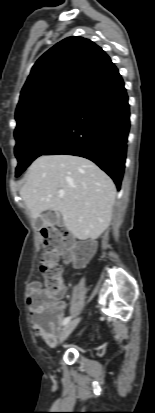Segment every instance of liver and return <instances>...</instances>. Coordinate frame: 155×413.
Here are the masks:
<instances>
[{"label": "liver", "instance_id": "obj_1", "mask_svg": "<svg viewBox=\"0 0 155 413\" xmlns=\"http://www.w3.org/2000/svg\"><path fill=\"white\" fill-rule=\"evenodd\" d=\"M20 196L33 219L47 210L59 212L75 238L95 240L110 224L116 188L90 160L57 154L40 156L31 164Z\"/></svg>", "mask_w": 155, "mask_h": 413}]
</instances>
